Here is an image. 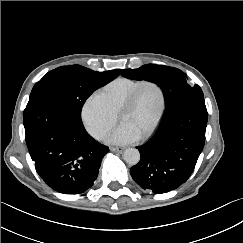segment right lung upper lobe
<instances>
[{
  "mask_svg": "<svg viewBox=\"0 0 243 243\" xmlns=\"http://www.w3.org/2000/svg\"><path fill=\"white\" fill-rule=\"evenodd\" d=\"M118 71H119V74L121 73V70L120 69H118Z\"/></svg>",
  "mask_w": 243,
  "mask_h": 243,
  "instance_id": "right-lung-upper-lobe-1",
  "label": "right lung upper lobe"
}]
</instances>
